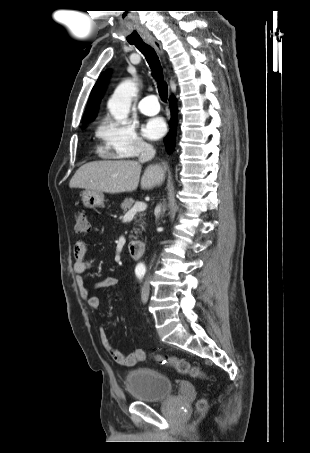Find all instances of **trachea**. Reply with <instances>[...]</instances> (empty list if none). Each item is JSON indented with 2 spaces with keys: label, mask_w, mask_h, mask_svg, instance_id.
Returning <instances> with one entry per match:
<instances>
[{
  "label": "trachea",
  "mask_w": 310,
  "mask_h": 453,
  "mask_svg": "<svg viewBox=\"0 0 310 453\" xmlns=\"http://www.w3.org/2000/svg\"><path fill=\"white\" fill-rule=\"evenodd\" d=\"M130 44L135 45L136 48L145 56V59L152 70V76L157 81L159 95L161 99L166 102L168 95V86L167 83L163 80V69L155 50L143 40L130 42Z\"/></svg>",
  "instance_id": "1"
}]
</instances>
